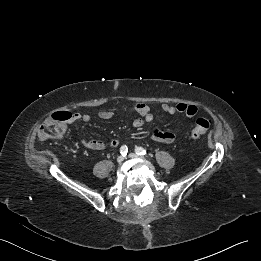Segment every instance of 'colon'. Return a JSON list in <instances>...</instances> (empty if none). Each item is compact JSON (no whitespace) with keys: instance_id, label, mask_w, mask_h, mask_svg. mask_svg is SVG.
<instances>
[{"instance_id":"colon-1","label":"colon","mask_w":261,"mask_h":261,"mask_svg":"<svg viewBox=\"0 0 261 261\" xmlns=\"http://www.w3.org/2000/svg\"><path fill=\"white\" fill-rule=\"evenodd\" d=\"M72 120V113L67 111H58L50 114L44 121L39 131L41 140H50L59 137L64 126ZM212 122L208 117H199L196 120L195 128L190 134L192 140L198 139L209 130Z\"/></svg>"}]
</instances>
